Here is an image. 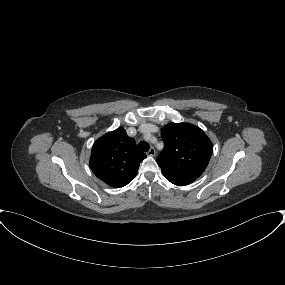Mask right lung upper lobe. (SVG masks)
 <instances>
[{"label": "right lung upper lobe", "mask_w": 285, "mask_h": 285, "mask_svg": "<svg viewBox=\"0 0 285 285\" xmlns=\"http://www.w3.org/2000/svg\"><path fill=\"white\" fill-rule=\"evenodd\" d=\"M146 157L145 153L137 150L135 140L120 127L94 143L90 167L99 179L119 188L134 179L140 162Z\"/></svg>", "instance_id": "1"}]
</instances>
